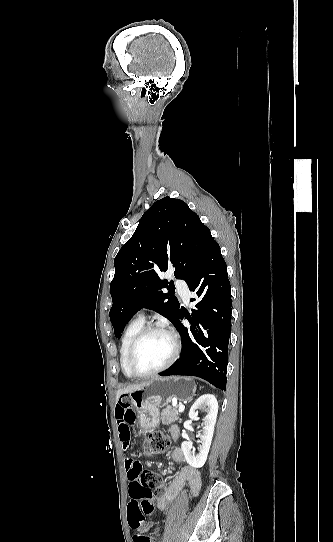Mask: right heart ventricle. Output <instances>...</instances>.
Returning a JSON list of instances; mask_svg holds the SVG:
<instances>
[{"label": "right heart ventricle", "instance_id": "1", "mask_svg": "<svg viewBox=\"0 0 333 542\" xmlns=\"http://www.w3.org/2000/svg\"><path fill=\"white\" fill-rule=\"evenodd\" d=\"M143 327H144V321L134 319L127 326L123 334V337L121 340V347H120V367H121L122 373L124 374L126 378L132 377L127 367V356H128L129 347L132 341L135 339V337L138 335V333L142 330Z\"/></svg>", "mask_w": 333, "mask_h": 542}]
</instances>
